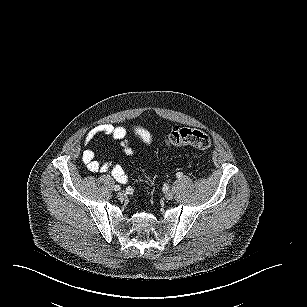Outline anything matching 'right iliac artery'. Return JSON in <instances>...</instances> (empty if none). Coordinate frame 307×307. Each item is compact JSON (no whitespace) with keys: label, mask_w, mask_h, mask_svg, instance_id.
<instances>
[{"label":"right iliac artery","mask_w":307,"mask_h":307,"mask_svg":"<svg viewBox=\"0 0 307 307\" xmlns=\"http://www.w3.org/2000/svg\"><path fill=\"white\" fill-rule=\"evenodd\" d=\"M120 189H121V188H120L119 185H115V186H114V190H115V191H119Z\"/></svg>","instance_id":"1"}]
</instances>
